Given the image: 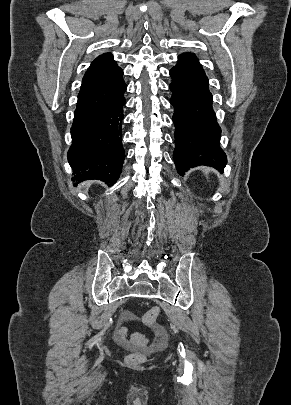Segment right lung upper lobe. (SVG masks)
Segmentation results:
<instances>
[{
    "instance_id": "obj_1",
    "label": "right lung upper lobe",
    "mask_w": 291,
    "mask_h": 405,
    "mask_svg": "<svg viewBox=\"0 0 291 405\" xmlns=\"http://www.w3.org/2000/svg\"><path fill=\"white\" fill-rule=\"evenodd\" d=\"M122 69L113 60L111 53H104L98 56L90 65L89 69L85 73L82 86L101 81L103 79L113 77L119 73Z\"/></svg>"
}]
</instances>
